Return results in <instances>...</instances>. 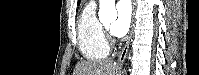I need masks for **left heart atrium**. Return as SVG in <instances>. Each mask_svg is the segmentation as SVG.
<instances>
[{
	"label": "left heart atrium",
	"instance_id": "obj_1",
	"mask_svg": "<svg viewBox=\"0 0 199 75\" xmlns=\"http://www.w3.org/2000/svg\"><path fill=\"white\" fill-rule=\"evenodd\" d=\"M117 18L111 25V33L115 37H123L131 25V8L128 1H120L117 6Z\"/></svg>",
	"mask_w": 199,
	"mask_h": 75
}]
</instances>
